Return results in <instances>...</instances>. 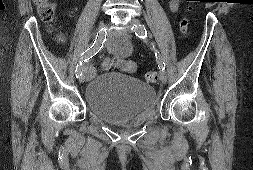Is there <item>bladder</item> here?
I'll return each mask as SVG.
<instances>
[{"label":"bladder","instance_id":"obj_1","mask_svg":"<svg viewBox=\"0 0 253 170\" xmlns=\"http://www.w3.org/2000/svg\"><path fill=\"white\" fill-rule=\"evenodd\" d=\"M84 98L98 118L112 125H123L154 106L155 89L135 76L104 72L86 84Z\"/></svg>","mask_w":253,"mask_h":170}]
</instances>
